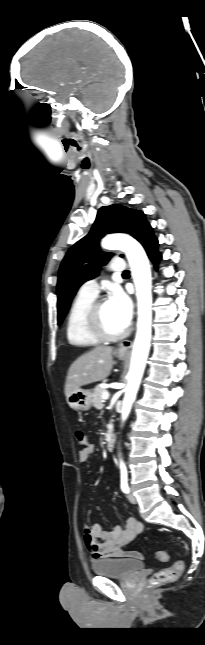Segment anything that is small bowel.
<instances>
[{"label": "small bowel", "mask_w": 205, "mask_h": 645, "mask_svg": "<svg viewBox=\"0 0 205 645\" xmlns=\"http://www.w3.org/2000/svg\"><path fill=\"white\" fill-rule=\"evenodd\" d=\"M95 452L89 445L78 453L80 462L87 461ZM143 531V525L134 517L127 519L125 526L116 525L111 531H104L99 522L84 527V542L94 560L118 557L140 558L137 552H123L121 547L128 544Z\"/></svg>", "instance_id": "small-bowel-1"}]
</instances>
